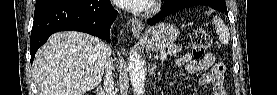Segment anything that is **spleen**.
<instances>
[{"instance_id":"3e777b00","label":"spleen","mask_w":277,"mask_h":95,"mask_svg":"<svg viewBox=\"0 0 277 95\" xmlns=\"http://www.w3.org/2000/svg\"><path fill=\"white\" fill-rule=\"evenodd\" d=\"M214 24L219 35V41L222 44L227 45L230 41V33L228 27L224 24L223 20L217 16L214 18Z\"/></svg>"}]
</instances>
